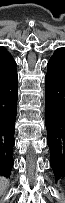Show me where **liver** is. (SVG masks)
Here are the masks:
<instances>
[{"label": "liver", "mask_w": 65, "mask_h": 203, "mask_svg": "<svg viewBox=\"0 0 65 203\" xmlns=\"http://www.w3.org/2000/svg\"><path fill=\"white\" fill-rule=\"evenodd\" d=\"M7 184H8V181L5 178L0 179L1 192H3L5 190V188L7 187Z\"/></svg>", "instance_id": "6515ba94"}]
</instances>
